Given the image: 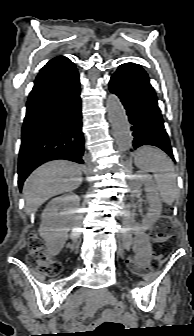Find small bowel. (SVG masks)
<instances>
[{"label": "small bowel", "mask_w": 194, "mask_h": 336, "mask_svg": "<svg viewBox=\"0 0 194 336\" xmlns=\"http://www.w3.org/2000/svg\"><path fill=\"white\" fill-rule=\"evenodd\" d=\"M135 246L138 253L136 263L141 267H145L150 259V247L145 234L140 233L137 235ZM82 298L83 295H79L77 301L82 300ZM97 299L101 302H111L113 300L111 294L107 291H102ZM66 320L74 326L79 327L82 324V317L80 315L69 314L66 316Z\"/></svg>", "instance_id": "small-bowel-1"}]
</instances>
